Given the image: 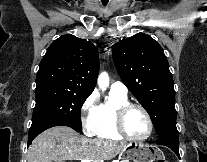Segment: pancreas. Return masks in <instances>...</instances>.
<instances>
[{
	"mask_svg": "<svg viewBox=\"0 0 207 162\" xmlns=\"http://www.w3.org/2000/svg\"><path fill=\"white\" fill-rule=\"evenodd\" d=\"M122 162H129L128 160L122 161Z\"/></svg>",
	"mask_w": 207,
	"mask_h": 162,
	"instance_id": "1",
	"label": "pancreas"
}]
</instances>
